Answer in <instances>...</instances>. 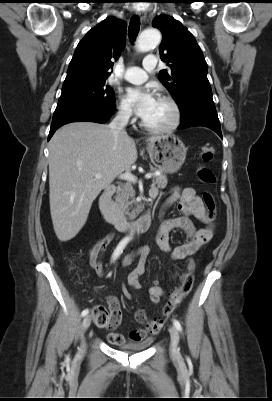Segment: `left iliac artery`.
<instances>
[{"mask_svg":"<svg viewBox=\"0 0 272 401\" xmlns=\"http://www.w3.org/2000/svg\"><path fill=\"white\" fill-rule=\"evenodd\" d=\"M173 324H174V326L176 327V329L178 331L182 330L181 324H180V322L178 320H173Z\"/></svg>","mask_w":272,"mask_h":401,"instance_id":"44dca946","label":"left iliac artery"}]
</instances>
